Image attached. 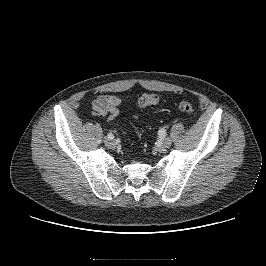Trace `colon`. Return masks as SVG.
<instances>
[{"mask_svg":"<svg viewBox=\"0 0 266 266\" xmlns=\"http://www.w3.org/2000/svg\"><path fill=\"white\" fill-rule=\"evenodd\" d=\"M158 102V97L157 95L153 94V93H145L142 94L139 99H138V105L142 108H146V107H152L154 105H156ZM179 109L182 112L185 113H190L193 110V105L192 102L189 100H184L179 104Z\"/></svg>","mask_w":266,"mask_h":266,"instance_id":"5ec220e1","label":"colon"}]
</instances>
